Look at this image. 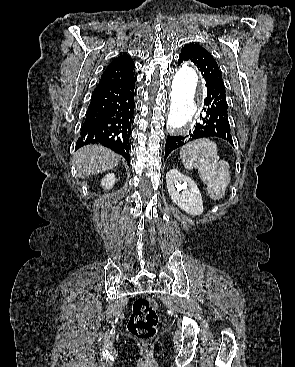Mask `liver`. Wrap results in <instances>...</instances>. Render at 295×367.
<instances>
[{"mask_svg":"<svg viewBox=\"0 0 295 367\" xmlns=\"http://www.w3.org/2000/svg\"><path fill=\"white\" fill-rule=\"evenodd\" d=\"M79 178L99 174L116 167L121 157L101 145H89L80 148L74 155Z\"/></svg>","mask_w":295,"mask_h":367,"instance_id":"1","label":"liver"}]
</instances>
